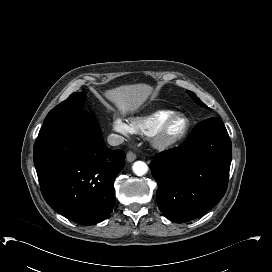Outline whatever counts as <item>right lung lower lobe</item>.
<instances>
[{
    "label": "right lung lower lobe",
    "instance_id": "obj_1",
    "mask_svg": "<svg viewBox=\"0 0 272 272\" xmlns=\"http://www.w3.org/2000/svg\"><path fill=\"white\" fill-rule=\"evenodd\" d=\"M124 160L122 150L105 146L98 123L83 109L44 124L34 144V164L46 202L83 225L110 215L114 179Z\"/></svg>",
    "mask_w": 272,
    "mask_h": 272
}]
</instances>
